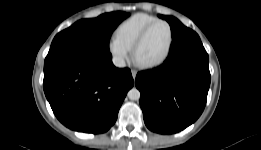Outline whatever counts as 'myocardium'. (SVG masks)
Returning <instances> with one entry per match:
<instances>
[{
    "label": "myocardium",
    "mask_w": 261,
    "mask_h": 150,
    "mask_svg": "<svg viewBox=\"0 0 261 150\" xmlns=\"http://www.w3.org/2000/svg\"><path fill=\"white\" fill-rule=\"evenodd\" d=\"M158 24H165L168 27L169 30V45H168V49L166 51V53L164 54V56L162 58H160L157 61L154 62H150V63H143L140 62L137 59V53L139 48L141 47V45L144 43V41L146 40L148 34L150 33V31ZM173 44H174V32H173V28L171 26V24L163 19H157L155 21H153L152 23H150L148 26H146L144 28V30L140 33V35L138 36V38L136 39L133 47H132V54H133V58L134 61L142 68H146V69H151V68H156L161 66L162 64H164L168 58L171 55L172 49H173Z\"/></svg>",
    "instance_id": "myocardium-1"
}]
</instances>
